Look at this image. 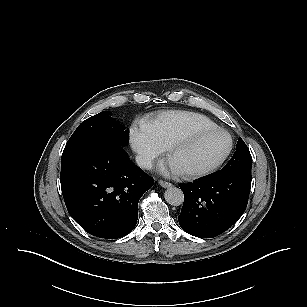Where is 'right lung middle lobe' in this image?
<instances>
[{
    "label": "right lung middle lobe",
    "mask_w": 307,
    "mask_h": 307,
    "mask_svg": "<svg viewBox=\"0 0 307 307\" xmlns=\"http://www.w3.org/2000/svg\"><path fill=\"white\" fill-rule=\"evenodd\" d=\"M129 131L110 117L109 112H100L83 121L67 141L62 160L72 157L90 147L111 144L126 146Z\"/></svg>",
    "instance_id": "obj_1"
}]
</instances>
